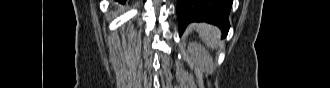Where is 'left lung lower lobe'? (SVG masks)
Segmentation results:
<instances>
[{
    "instance_id": "left-lung-lower-lobe-1",
    "label": "left lung lower lobe",
    "mask_w": 330,
    "mask_h": 88,
    "mask_svg": "<svg viewBox=\"0 0 330 88\" xmlns=\"http://www.w3.org/2000/svg\"><path fill=\"white\" fill-rule=\"evenodd\" d=\"M232 2L233 0H178L179 35L190 22H208L218 26L222 37H226L230 28Z\"/></svg>"
}]
</instances>
